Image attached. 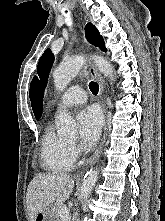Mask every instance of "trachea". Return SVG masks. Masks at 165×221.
Here are the masks:
<instances>
[{
    "label": "trachea",
    "mask_w": 165,
    "mask_h": 221,
    "mask_svg": "<svg viewBox=\"0 0 165 221\" xmlns=\"http://www.w3.org/2000/svg\"><path fill=\"white\" fill-rule=\"evenodd\" d=\"M89 89L93 94H97L99 91V85L96 82L91 81L89 83Z\"/></svg>",
    "instance_id": "1"
}]
</instances>
